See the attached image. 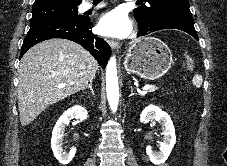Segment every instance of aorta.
Listing matches in <instances>:
<instances>
[{
    "instance_id": "762f6f07",
    "label": "aorta",
    "mask_w": 227,
    "mask_h": 166,
    "mask_svg": "<svg viewBox=\"0 0 227 166\" xmlns=\"http://www.w3.org/2000/svg\"><path fill=\"white\" fill-rule=\"evenodd\" d=\"M106 91L110 108L116 112L119 102V86L115 57H111L106 67Z\"/></svg>"
}]
</instances>
